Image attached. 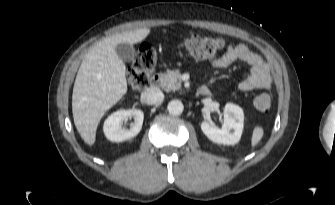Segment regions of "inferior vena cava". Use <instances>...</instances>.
Listing matches in <instances>:
<instances>
[{"instance_id": "inferior-vena-cava-1", "label": "inferior vena cava", "mask_w": 335, "mask_h": 205, "mask_svg": "<svg viewBox=\"0 0 335 205\" xmlns=\"http://www.w3.org/2000/svg\"><path fill=\"white\" fill-rule=\"evenodd\" d=\"M142 99L147 104H157L163 101L164 94L157 87H150L142 93Z\"/></svg>"}]
</instances>
